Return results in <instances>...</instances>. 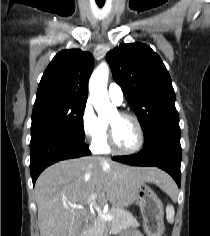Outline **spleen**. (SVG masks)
<instances>
[{
	"label": "spleen",
	"instance_id": "3e777b00",
	"mask_svg": "<svg viewBox=\"0 0 210 236\" xmlns=\"http://www.w3.org/2000/svg\"><path fill=\"white\" fill-rule=\"evenodd\" d=\"M164 188L167 193L172 194L175 190L173 181H172V183H165ZM166 214H167V220L169 222H173L175 211H174V207L172 205H168L166 207Z\"/></svg>",
	"mask_w": 210,
	"mask_h": 236
}]
</instances>
